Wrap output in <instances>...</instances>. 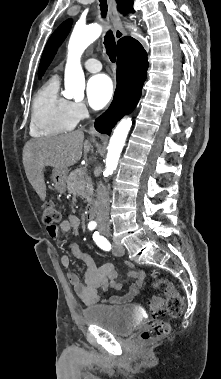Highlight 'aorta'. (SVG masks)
<instances>
[{
	"instance_id": "aorta-1",
	"label": "aorta",
	"mask_w": 221,
	"mask_h": 379,
	"mask_svg": "<svg viewBox=\"0 0 221 379\" xmlns=\"http://www.w3.org/2000/svg\"><path fill=\"white\" fill-rule=\"evenodd\" d=\"M102 32L98 24L88 26L76 25L68 44L67 63L65 67V93L66 98L81 100L84 97L85 77L80 64L81 55ZM132 120L123 118L116 126L110 138L108 153L105 160V172L112 173L118 164L121 152L130 131Z\"/></svg>"
}]
</instances>
